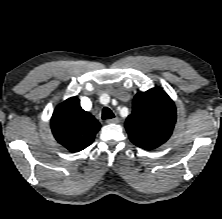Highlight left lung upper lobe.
I'll list each match as a JSON object with an SVG mask.
<instances>
[{
    "label": "left lung upper lobe",
    "mask_w": 222,
    "mask_h": 219,
    "mask_svg": "<svg viewBox=\"0 0 222 219\" xmlns=\"http://www.w3.org/2000/svg\"><path fill=\"white\" fill-rule=\"evenodd\" d=\"M175 122V104L162 89L153 88L135 95L125 127L132 143L152 150L169 139Z\"/></svg>",
    "instance_id": "obj_1"
}]
</instances>
